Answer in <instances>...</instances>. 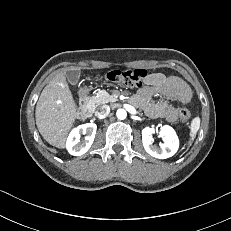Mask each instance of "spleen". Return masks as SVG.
Here are the masks:
<instances>
[{
    "instance_id": "spleen-1",
    "label": "spleen",
    "mask_w": 231,
    "mask_h": 231,
    "mask_svg": "<svg viewBox=\"0 0 231 231\" xmlns=\"http://www.w3.org/2000/svg\"><path fill=\"white\" fill-rule=\"evenodd\" d=\"M200 127V118L199 117H195L190 125V140L188 141V146L191 145L193 139L196 136L197 131L199 130Z\"/></svg>"
}]
</instances>
